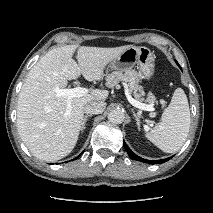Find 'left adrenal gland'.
<instances>
[{"label":"left adrenal gland","mask_w":213,"mask_h":213,"mask_svg":"<svg viewBox=\"0 0 213 213\" xmlns=\"http://www.w3.org/2000/svg\"><path fill=\"white\" fill-rule=\"evenodd\" d=\"M133 115H134V117H135V120H136V124H137V126H138V129H140V120H139V118H140V114L139 113H135V112H133Z\"/></svg>","instance_id":"1"}]
</instances>
